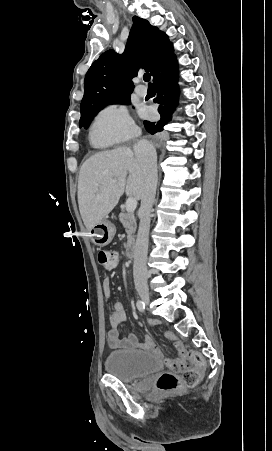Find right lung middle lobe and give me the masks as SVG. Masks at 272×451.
Listing matches in <instances>:
<instances>
[{"mask_svg": "<svg viewBox=\"0 0 272 451\" xmlns=\"http://www.w3.org/2000/svg\"><path fill=\"white\" fill-rule=\"evenodd\" d=\"M109 104H130V98L112 101V102L103 104L101 106L94 107V108H91V109H88V110H85V111L81 112V118H80V121H79L80 128L81 127L87 128L88 125L90 124V121L96 115V113L100 109H102L103 107H105L106 105H109Z\"/></svg>", "mask_w": 272, "mask_h": 451, "instance_id": "dd1d6c3e", "label": "right lung middle lobe"}]
</instances>
